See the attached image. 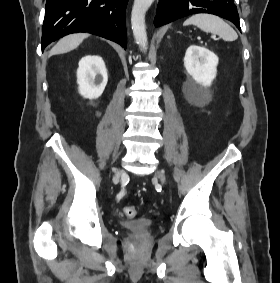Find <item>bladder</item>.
Wrapping results in <instances>:
<instances>
[{
    "label": "bladder",
    "mask_w": 280,
    "mask_h": 283,
    "mask_svg": "<svg viewBox=\"0 0 280 283\" xmlns=\"http://www.w3.org/2000/svg\"><path fill=\"white\" fill-rule=\"evenodd\" d=\"M121 227L134 234H143L150 231L153 227V222L150 219L141 218L137 220L124 221Z\"/></svg>",
    "instance_id": "1"
}]
</instances>
